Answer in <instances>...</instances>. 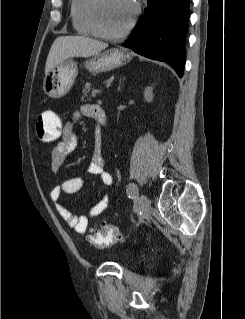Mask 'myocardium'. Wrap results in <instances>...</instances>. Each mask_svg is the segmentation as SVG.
Returning a JSON list of instances; mask_svg holds the SVG:
<instances>
[{"label": "myocardium", "instance_id": "obj_1", "mask_svg": "<svg viewBox=\"0 0 245 319\" xmlns=\"http://www.w3.org/2000/svg\"><path fill=\"white\" fill-rule=\"evenodd\" d=\"M128 2L131 4L133 8V14L132 18L129 21V23L126 25L124 29H122L119 32H108L106 31L100 22V8H101V3L102 0H91V3L89 5V18L91 21V24L93 28L95 29L96 34L99 37L105 38V39H110V40H117L120 38L125 37L135 26V23L137 21V18L139 16V5L134 1V0H128Z\"/></svg>", "mask_w": 245, "mask_h": 319}]
</instances>
